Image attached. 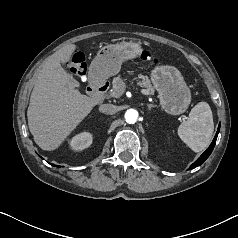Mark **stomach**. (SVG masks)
Returning a JSON list of instances; mask_svg holds the SVG:
<instances>
[{
	"instance_id": "stomach-1",
	"label": "stomach",
	"mask_w": 238,
	"mask_h": 238,
	"mask_svg": "<svg viewBox=\"0 0 238 238\" xmlns=\"http://www.w3.org/2000/svg\"><path fill=\"white\" fill-rule=\"evenodd\" d=\"M141 51V46L132 41L104 46L90 65V79L98 81L116 75L123 61L136 58ZM151 81L167 113L179 115L187 110L191 92L178 69L169 65L157 66L151 72Z\"/></svg>"
}]
</instances>
